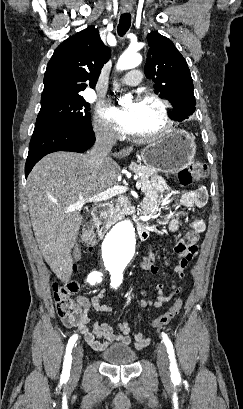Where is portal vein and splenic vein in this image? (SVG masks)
<instances>
[{
	"mask_svg": "<svg viewBox=\"0 0 243 409\" xmlns=\"http://www.w3.org/2000/svg\"><path fill=\"white\" fill-rule=\"evenodd\" d=\"M136 188L140 189L141 188V182L138 181L136 183ZM128 190L127 186H113L101 193H98L86 200L84 199H80L79 201H77L76 203H74L73 205L69 206L67 208V212H71V211H75V210H80L83 205L87 202H101L104 200H107L109 198H112L113 196H116L118 194H122L125 193Z\"/></svg>",
	"mask_w": 243,
	"mask_h": 409,
	"instance_id": "18ae733b",
	"label": "portal vein and splenic vein"
}]
</instances>
